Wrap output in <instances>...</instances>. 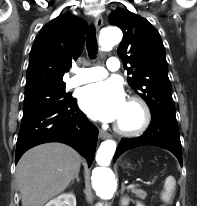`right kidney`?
I'll use <instances>...</instances> for the list:
<instances>
[{
	"instance_id": "ca27d5eb",
	"label": "right kidney",
	"mask_w": 197,
	"mask_h": 206,
	"mask_svg": "<svg viewBox=\"0 0 197 206\" xmlns=\"http://www.w3.org/2000/svg\"><path fill=\"white\" fill-rule=\"evenodd\" d=\"M45 206H76V197L73 193L61 194Z\"/></svg>"
}]
</instances>
